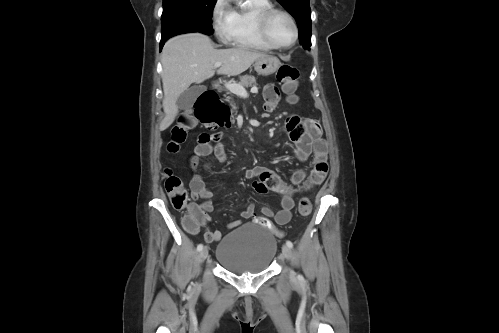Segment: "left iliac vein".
<instances>
[{
  "mask_svg": "<svg viewBox=\"0 0 499 333\" xmlns=\"http://www.w3.org/2000/svg\"><path fill=\"white\" fill-rule=\"evenodd\" d=\"M282 254H283L284 258L290 259L291 258V249L287 245H283L282 246ZM290 275H291V278L294 277V273L292 271L290 272Z\"/></svg>",
  "mask_w": 499,
  "mask_h": 333,
  "instance_id": "1",
  "label": "left iliac vein"
}]
</instances>
